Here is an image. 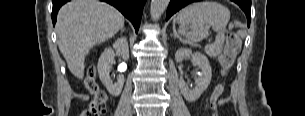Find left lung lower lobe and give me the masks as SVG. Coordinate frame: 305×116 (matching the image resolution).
Returning <instances> with one entry per match:
<instances>
[{
	"instance_id": "1",
	"label": "left lung lower lobe",
	"mask_w": 305,
	"mask_h": 116,
	"mask_svg": "<svg viewBox=\"0 0 305 116\" xmlns=\"http://www.w3.org/2000/svg\"><path fill=\"white\" fill-rule=\"evenodd\" d=\"M196 1L198 0H171L167 9L166 20H168L174 13H176L184 6ZM234 2L237 3L241 7V9L245 12L249 25L251 19V15H250L251 0H234Z\"/></svg>"
}]
</instances>
